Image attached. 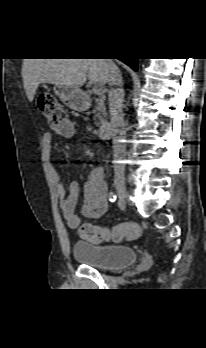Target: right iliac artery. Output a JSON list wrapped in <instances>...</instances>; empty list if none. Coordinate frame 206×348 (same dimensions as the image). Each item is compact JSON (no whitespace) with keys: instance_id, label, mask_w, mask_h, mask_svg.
<instances>
[{"instance_id":"obj_1","label":"right iliac artery","mask_w":206,"mask_h":348,"mask_svg":"<svg viewBox=\"0 0 206 348\" xmlns=\"http://www.w3.org/2000/svg\"><path fill=\"white\" fill-rule=\"evenodd\" d=\"M108 197L111 202H114L117 198L116 194L113 191L109 192Z\"/></svg>"}]
</instances>
